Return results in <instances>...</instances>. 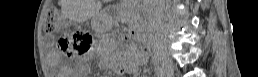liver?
Returning a JSON list of instances; mask_svg holds the SVG:
<instances>
[{"mask_svg": "<svg viewBox=\"0 0 258 77\" xmlns=\"http://www.w3.org/2000/svg\"><path fill=\"white\" fill-rule=\"evenodd\" d=\"M61 3L62 13L79 22L96 16L102 7L101 1L96 0H62Z\"/></svg>", "mask_w": 258, "mask_h": 77, "instance_id": "obj_1", "label": "liver"}]
</instances>
